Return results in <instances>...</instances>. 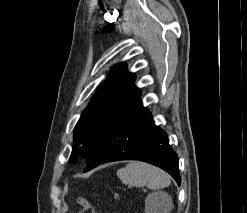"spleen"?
I'll return each instance as SVG.
<instances>
[{"mask_svg": "<svg viewBox=\"0 0 247 213\" xmlns=\"http://www.w3.org/2000/svg\"><path fill=\"white\" fill-rule=\"evenodd\" d=\"M118 178L124 184L136 187L146 186L152 190L168 187L170 176L155 166L144 162H131L117 171Z\"/></svg>", "mask_w": 247, "mask_h": 213, "instance_id": "spleen-1", "label": "spleen"}]
</instances>
